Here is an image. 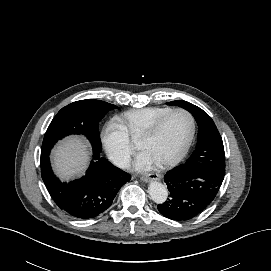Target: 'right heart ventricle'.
<instances>
[{"instance_id":"1","label":"right heart ventricle","mask_w":271,"mask_h":271,"mask_svg":"<svg viewBox=\"0 0 271 271\" xmlns=\"http://www.w3.org/2000/svg\"><path fill=\"white\" fill-rule=\"evenodd\" d=\"M173 108L166 106H153L132 109L117 116L118 124L128 136L137 137L152 123L171 111Z\"/></svg>"}]
</instances>
